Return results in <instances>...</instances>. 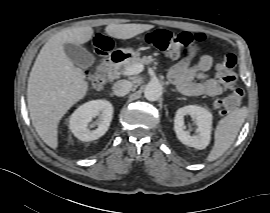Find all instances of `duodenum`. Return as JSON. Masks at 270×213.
Segmentation results:
<instances>
[{
  "mask_svg": "<svg viewBox=\"0 0 270 213\" xmlns=\"http://www.w3.org/2000/svg\"><path fill=\"white\" fill-rule=\"evenodd\" d=\"M126 55L121 52H115L110 55L108 60L107 72L110 79L114 80L118 76L119 68L123 61L125 60Z\"/></svg>",
  "mask_w": 270,
  "mask_h": 213,
  "instance_id": "duodenum-1",
  "label": "duodenum"
}]
</instances>
